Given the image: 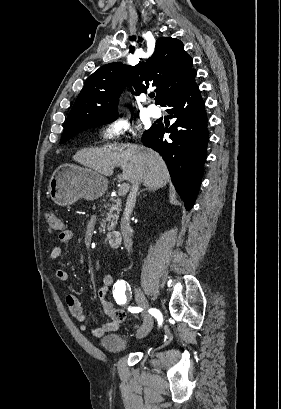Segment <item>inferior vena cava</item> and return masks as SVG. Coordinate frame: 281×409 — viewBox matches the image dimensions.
Wrapping results in <instances>:
<instances>
[{"label":"inferior vena cava","instance_id":"inferior-vena-cava-1","mask_svg":"<svg viewBox=\"0 0 281 409\" xmlns=\"http://www.w3.org/2000/svg\"><path fill=\"white\" fill-rule=\"evenodd\" d=\"M140 182H141V176H137L136 180L132 182L130 196H136ZM120 231L123 237L124 247L125 249H127L128 253H131L132 245H133V241H132L133 233L130 227V215H123L121 219V223H120Z\"/></svg>","mask_w":281,"mask_h":409}]
</instances>
